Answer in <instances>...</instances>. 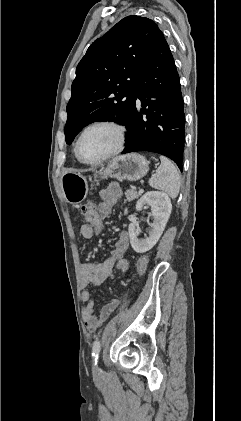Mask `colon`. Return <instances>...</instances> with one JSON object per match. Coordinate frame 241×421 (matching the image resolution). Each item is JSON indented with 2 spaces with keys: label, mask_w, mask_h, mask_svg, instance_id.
I'll return each instance as SVG.
<instances>
[{
  "label": "colon",
  "mask_w": 241,
  "mask_h": 421,
  "mask_svg": "<svg viewBox=\"0 0 241 421\" xmlns=\"http://www.w3.org/2000/svg\"><path fill=\"white\" fill-rule=\"evenodd\" d=\"M82 214L86 220V224L90 225L93 232V237H98L103 231V219L98 215L97 208L94 202H88L82 207ZM148 258L143 256L137 263L139 273H143L146 269ZM115 268L118 272L125 274L129 272L131 265L126 259H120L116 262Z\"/></svg>",
  "instance_id": "1"
}]
</instances>
